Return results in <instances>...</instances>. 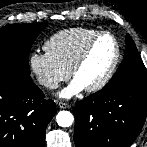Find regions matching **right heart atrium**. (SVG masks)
Returning a JSON list of instances; mask_svg holds the SVG:
<instances>
[{
	"label": "right heart atrium",
	"instance_id": "1",
	"mask_svg": "<svg viewBox=\"0 0 147 147\" xmlns=\"http://www.w3.org/2000/svg\"><path fill=\"white\" fill-rule=\"evenodd\" d=\"M28 63L36 81L47 90L56 89L70 75V71L60 65L47 52L30 54Z\"/></svg>",
	"mask_w": 147,
	"mask_h": 147
}]
</instances>
